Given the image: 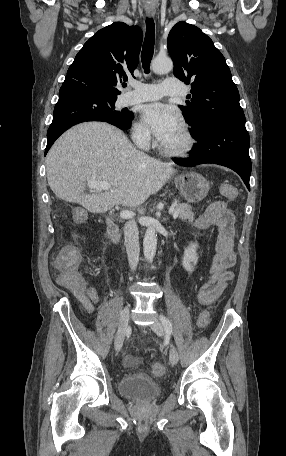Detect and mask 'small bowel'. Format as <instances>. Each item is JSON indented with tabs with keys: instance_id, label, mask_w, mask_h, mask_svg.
<instances>
[{
	"instance_id": "small-bowel-1",
	"label": "small bowel",
	"mask_w": 286,
	"mask_h": 456,
	"mask_svg": "<svg viewBox=\"0 0 286 456\" xmlns=\"http://www.w3.org/2000/svg\"><path fill=\"white\" fill-rule=\"evenodd\" d=\"M234 225V214L222 202L211 204L196 221L197 228L201 230L217 227L220 232L216 254L209 261L207 276L197 293L202 304L212 303L234 278L231 270L237 260L234 249ZM73 295L88 314H92L95 306L100 302L93 285H88L80 291H73Z\"/></svg>"
}]
</instances>
